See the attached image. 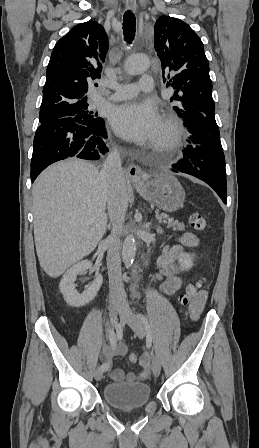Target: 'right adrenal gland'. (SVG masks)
Listing matches in <instances>:
<instances>
[{
    "label": "right adrenal gland",
    "mask_w": 259,
    "mask_h": 448,
    "mask_svg": "<svg viewBox=\"0 0 259 448\" xmlns=\"http://www.w3.org/2000/svg\"><path fill=\"white\" fill-rule=\"evenodd\" d=\"M110 226H108L107 230H109Z\"/></svg>",
    "instance_id": "1"
}]
</instances>
